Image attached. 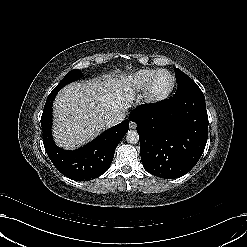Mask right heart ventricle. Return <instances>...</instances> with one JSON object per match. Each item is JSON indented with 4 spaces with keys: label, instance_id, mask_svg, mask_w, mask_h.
<instances>
[{
    "label": "right heart ventricle",
    "instance_id": "e07e8e85",
    "mask_svg": "<svg viewBox=\"0 0 247 247\" xmlns=\"http://www.w3.org/2000/svg\"><path fill=\"white\" fill-rule=\"evenodd\" d=\"M157 71L156 69H141L134 72L127 78L125 88L134 93L145 91Z\"/></svg>",
    "mask_w": 247,
    "mask_h": 247
}]
</instances>
